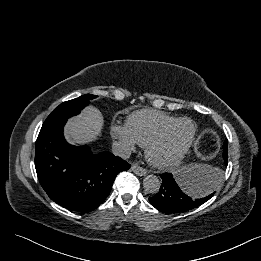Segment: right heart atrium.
<instances>
[{
    "instance_id": "1",
    "label": "right heart atrium",
    "mask_w": 261,
    "mask_h": 261,
    "mask_svg": "<svg viewBox=\"0 0 261 261\" xmlns=\"http://www.w3.org/2000/svg\"><path fill=\"white\" fill-rule=\"evenodd\" d=\"M110 135L116 141L122 153H130L137 147V142L129 132L126 125L114 123L110 127Z\"/></svg>"
}]
</instances>
